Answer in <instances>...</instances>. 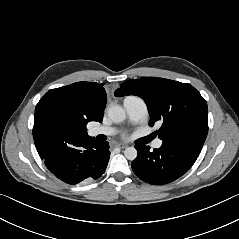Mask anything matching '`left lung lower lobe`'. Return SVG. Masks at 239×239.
Here are the masks:
<instances>
[{
	"instance_id": "left-lung-lower-lobe-1",
	"label": "left lung lower lobe",
	"mask_w": 239,
	"mask_h": 239,
	"mask_svg": "<svg viewBox=\"0 0 239 239\" xmlns=\"http://www.w3.org/2000/svg\"><path fill=\"white\" fill-rule=\"evenodd\" d=\"M135 148L138 156L131 164L134 173L154 185L167 184L181 177L200 154L169 142H163L159 149L153 151L145 145H136Z\"/></svg>"
}]
</instances>
